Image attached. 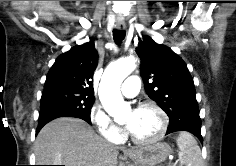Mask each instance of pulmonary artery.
I'll return each instance as SVG.
<instances>
[{
	"label": "pulmonary artery",
	"mask_w": 236,
	"mask_h": 166,
	"mask_svg": "<svg viewBox=\"0 0 236 166\" xmlns=\"http://www.w3.org/2000/svg\"><path fill=\"white\" fill-rule=\"evenodd\" d=\"M140 78L137 75L129 76L122 85L121 92L125 97H134L140 88Z\"/></svg>",
	"instance_id": "pulmonary-artery-1"
}]
</instances>
